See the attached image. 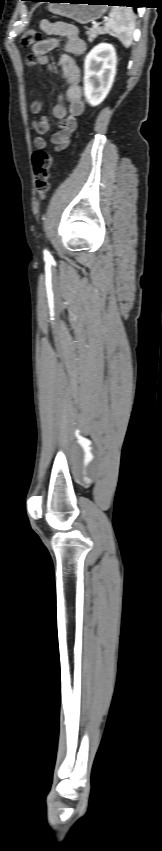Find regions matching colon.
<instances>
[{
    "mask_svg": "<svg viewBox=\"0 0 162 851\" xmlns=\"http://www.w3.org/2000/svg\"><path fill=\"white\" fill-rule=\"evenodd\" d=\"M41 41V34L34 28L27 29L21 39L23 47H32ZM33 171L35 175L36 189L41 200H44L49 191L50 170L53 158L44 150L38 149L32 155Z\"/></svg>",
    "mask_w": 162,
    "mask_h": 851,
    "instance_id": "1",
    "label": "colon"
}]
</instances>
